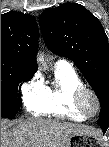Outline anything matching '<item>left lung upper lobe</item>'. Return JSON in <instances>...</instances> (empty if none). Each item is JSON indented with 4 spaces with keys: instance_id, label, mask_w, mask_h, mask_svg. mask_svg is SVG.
I'll list each match as a JSON object with an SVG mask.
<instances>
[{
    "instance_id": "left-lung-upper-lobe-1",
    "label": "left lung upper lobe",
    "mask_w": 109,
    "mask_h": 147,
    "mask_svg": "<svg viewBox=\"0 0 109 147\" xmlns=\"http://www.w3.org/2000/svg\"><path fill=\"white\" fill-rule=\"evenodd\" d=\"M47 47L71 59L101 103L97 121L109 125V44L100 21L77 3L46 9L39 19Z\"/></svg>"
}]
</instances>
